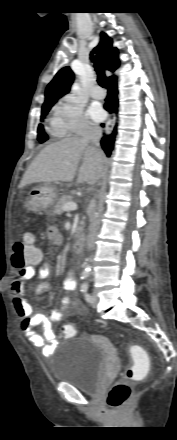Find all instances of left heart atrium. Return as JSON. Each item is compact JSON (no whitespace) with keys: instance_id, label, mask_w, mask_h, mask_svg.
Instances as JSON below:
<instances>
[{"instance_id":"1","label":"left heart atrium","mask_w":177,"mask_h":440,"mask_svg":"<svg viewBox=\"0 0 177 440\" xmlns=\"http://www.w3.org/2000/svg\"><path fill=\"white\" fill-rule=\"evenodd\" d=\"M88 115L96 122L103 120L105 117V113L99 105H92L88 110Z\"/></svg>"}]
</instances>
